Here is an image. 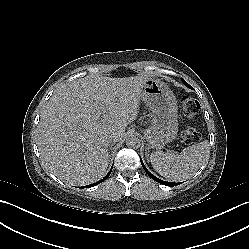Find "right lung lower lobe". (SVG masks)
Segmentation results:
<instances>
[{"label":"right lung lower lobe","instance_id":"98d812e1","mask_svg":"<svg viewBox=\"0 0 249 249\" xmlns=\"http://www.w3.org/2000/svg\"><path fill=\"white\" fill-rule=\"evenodd\" d=\"M111 170H112V169H111ZM111 170H110V172H109L102 180H100V181L97 182V183H94V184H91V185H87L86 187H87V188H90V187H93V186H95V185H97V184L103 182V181L110 175Z\"/></svg>","mask_w":249,"mask_h":249}]
</instances>
